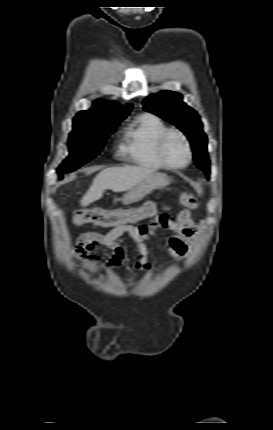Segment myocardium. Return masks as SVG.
Returning <instances> with one entry per match:
<instances>
[{"label":"myocardium","instance_id":"f54148a6","mask_svg":"<svg viewBox=\"0 0 273 430\" xmlns=\"http://www.w3.org/2000/svg\"><path fill=\"white\" fill-rule=\"evenodd\" d=\"M171 135H178L179 137H181V139L183 140L184 144H185V148H186V160L184 163L182 164H172L171 162H169L165 156L164 153V146H165V142L166 140L171 136ZM157 155L160 159V161L165 165V167L170 168V169H183L186 166H188L192 160V148L189 142L188 137L180 130L178 129H173L170 128L168 130H166L164 133H162L158 139L157 142Z\"/></svg>","mask_w":273,"mask_h":430}]
</instances>
